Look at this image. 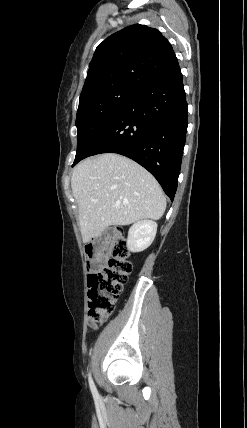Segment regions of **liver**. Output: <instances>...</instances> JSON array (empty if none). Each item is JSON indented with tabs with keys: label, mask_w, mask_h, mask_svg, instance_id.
I'll list each match as a JSON object with an SVG mask.
<instances>
[{
	"label": "liver",
	"mask_w": 247,
	"mask_h": 428,
	"mask_svg": "<svg viewBox=\"0 0 247 428\" xmlns=\"http://www.w3.org/2000/svg\"><path fill=\"white\" fill-rule=\"evenodd\" d=\"M85 243L111 225L160 219L166 198L156 179L136 162L107 153L80 162L71 178Z\"/></svg>",
	"instance_id": "1"
}]
</instances>
